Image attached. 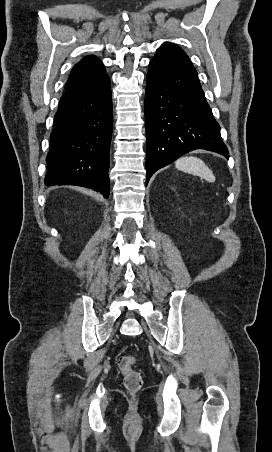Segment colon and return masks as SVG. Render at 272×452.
I'll use <instances>...</instances> for the list:
<instances>
[{
	"mask_svg": "<svg viewBox=\"0 0 272 452\" xmlns=\"http://www.w3.org/2000/svg\"><path fill=\"white\" fill-rule=\"evenodd\" d=\"M136 357L133 355H122L118 358V368L123 375L124 386L130 394L137 393L142 385L143 378L140 372L134 369Z\"/></svg>",
	"mask_w": 272,
	"mask_h": 452,
	"instance_id": "1",
	"label": "colon"
}]
</instances>
